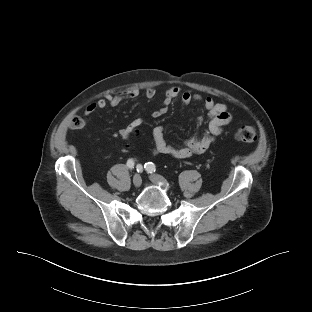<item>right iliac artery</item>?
Masks as SVG:
<instances>
[{"mask_svg":"<svg viewBox=\"0 0 312 312\" xmlns=\"http://www.w3.org/2000/svg\"><path fill=\"white\" fill-rule=\"evenodd\" d=\"M134 160L133 159H129L128 161H127V166H128V168L129 169H132V168H134ZM137 171L138 172H142L143 171V167L139 164V165H137Z\"/></svg>","mask_w":312,"mask_h":312,"instance_id":"1","label":"right iliac artery"}]
</instances>
